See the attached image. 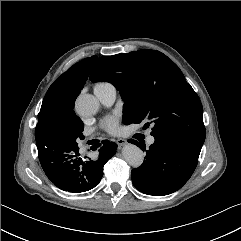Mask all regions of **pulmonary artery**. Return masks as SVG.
Wrapping results in <instances>:
<instances>
[{
    "label": "pulmonary artery",
    "instance_id": "1",
    "mask_svg": "<svg viewBox=\"0 0 241 241\" xmlns=\"http://www.w3.org/2000/svg\"><path fill=\"white\" fill-rule=\"evenodd\" d=\"M94 93L99 99V101L104 105V106H111L115 99H116V89L113 85L108 84V85H101V86H95L94 87ZM148 144H153L154 143V137L149 136L147 139Z\"/></svg>",
    "mask_w": 241,
    "mask_h": 241
}]
</instances>
